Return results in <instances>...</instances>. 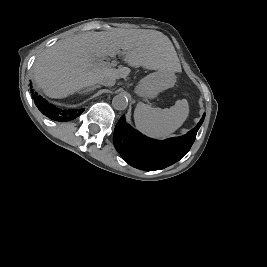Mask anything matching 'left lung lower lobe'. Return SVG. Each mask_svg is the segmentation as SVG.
<instances>
[{
	"mask_svg": "<svg viewBox=\"0 0 267 267\" xmlns=\"http://www.w3.org/2000/svg\"><path fill=\"white\" fill-rule=\"evenodd\" d=\"M204 117L186 135L157 141L132 129L122 116L114 129V145L124 160L133 167L145 171L163 169L180 160L189 151Z\"/></svg>",
	"mask_w": 267,
	"mask_h": 267,
	"instance_id": "1",
	"label": "left lung lower lobe"
}]
</instances>
